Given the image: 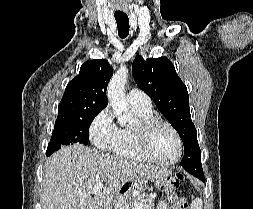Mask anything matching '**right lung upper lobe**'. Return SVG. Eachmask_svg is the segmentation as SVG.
<instances>
[{
	"instance_id": "right-lung-upper-lobe-1",
	"label": "right lung upper lobe",
	"mask_w": 253,
	"mask_h": 209,
	"mask_svg": "<svg viewBox=\"0 0 253 209\" xmlns=\"http://www.w3.org/2000/svg\"><path fill=\"white\" fill-rule=\"evenodd\" d=\"M112 75L113 70L106 60L83 63L79 74L67 84L56 121L101 112L108 105L106 90Z\"/></svg>"
}]
</instances>
